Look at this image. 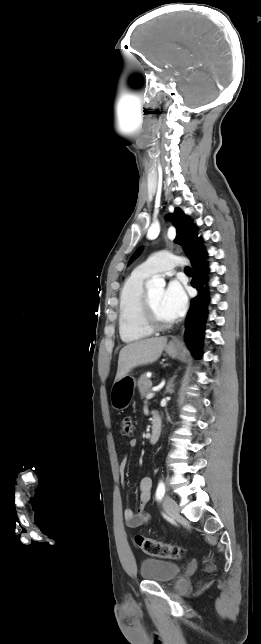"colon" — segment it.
Instances as JSON below:
<instances>
[{"instance_id":"colon-1","label":"colon","mask_w":261,"mask_h":644,"mask_svg":"<svg viewBox=\"0 0 261 644\" xmlns=\"http://www.w3.org/2000/svg\"><path fill=\"white\" fill-rule=\"evenodd\" d=\"M121 433L126 437H132L134 435L135 426L131 417L126 416L122 419ZM135 542L142 552L154 557L179 559L185 554V550L179 546L162 543L141 535L135 537ZM208 562L210 563L209 558Z\"/></svg>"}]
</instances>
